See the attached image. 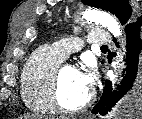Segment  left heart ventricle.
I'll return each instance as SVG.
<instances>
[{
	"label": "left heart ventricle",
	"instance_id": "left-heart-ventricle-1",
	"mask_svg": "<svg viewBox=\"0 0 142 119\" xmlns=\"http://www.w3.org/2000/svg\"><path fill=\"white\" fill-rule=\"evenodd\" d=\"M81 84L78 71L67 66L61 77L60 99L65 107L72 108L81 104L89 95Z\"/></svg>",
	"mask_w": 142,
	"mask_h": 119
}]
</instances>
